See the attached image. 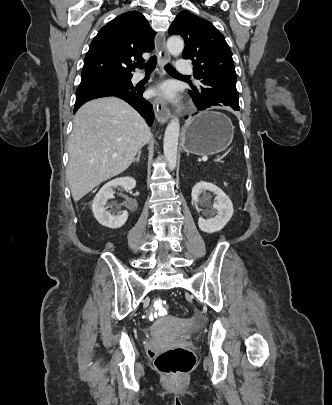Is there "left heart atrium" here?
<instances>
[{
	"label": "left heart atrium",
	"instance_id": "39dd6f15",
	"mask_svg": "<svg viewBox=\"0 0 332 405\" xmlns=\"http://www.w3.org/2000/svg\"><path fill=\"white\" fill-rule=\"evenodd\" d=\"M151 94L167 100H174L176 95L173 86L170 83H163L151 90Z\"/></svg>",
	"mask_w": 332,
	"mask_h": 405
}]
</instances>
